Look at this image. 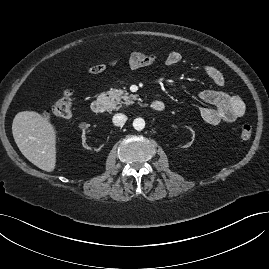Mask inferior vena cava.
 Masks as SVG:
<instances>
[{
    "label": "inferior vena cava",
    "instance_id": "inferior-vena-cava-1",
    "mask_svg": "<svg viewBox=\"0 0 269 269\" xmlns=\"http://www.w3.org/2000/svg\"><path fill=\"white\" fill-rule=\"evenodd\" d=\"M112 121L115 126H123L127 121V116L122 113H117L113 116Z\"/></svg>",
    "mask_w": 269,
    "mask_h": 269
}]
</instances>
